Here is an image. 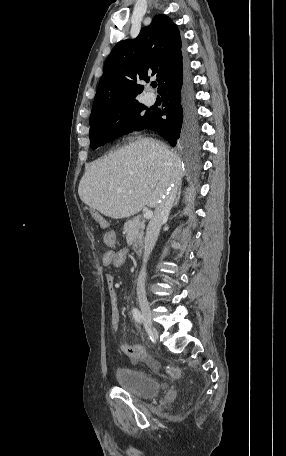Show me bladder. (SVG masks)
Listing matches in <instances>:
<instances>
[{"mask_svg": "<svg viewBox=\"0 0 286 456\" xmlns=\"http://www.w3.org/2000/svg\"><path fill=\"white\" fill-rule=\"evenodd\" d=\"M116 379L120 388L141 398L154 397L162 390L160 382L153 376L128 367H119Z\"/></svg>", "mask_w": 286, "mask_h": 456, "instance_id": "31cf9c89", "label": "bladder"}]
</instances>
